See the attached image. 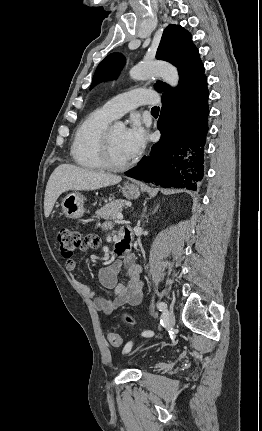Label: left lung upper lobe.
Listing matches in <instances>:
<instances>
[{
	"mask_svg": "<svg viewBox=\"0 0 262 431\" xmlns=\"http://www.w3.org/2000/svg\"><path fill=\"white\" fill-rule=\"evenodd\" d=\"M156 59L165 60L178 68L180 84L177 89L158 81L155 89L163 95L186 90L203 78L204 66L200 60L199 52L192 42L190 33L178 25H169L164 30L160 45L157 49ZM125 59L119 53L108 55L97 67L91 88L97 83L114 79L123 68Z\"/></svg>",
	"mask_w": 262,
	"mask_h": 431,
	"instance_id": "obj_1",
	"label": "left lung upper lobe"
}]
</instances>
